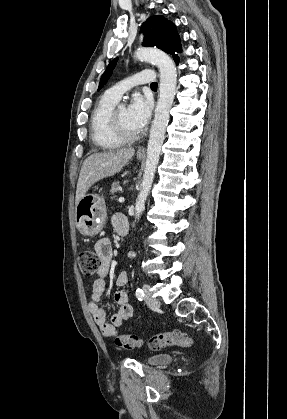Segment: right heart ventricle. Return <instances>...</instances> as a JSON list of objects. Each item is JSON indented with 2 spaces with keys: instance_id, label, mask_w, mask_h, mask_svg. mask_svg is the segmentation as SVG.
<instances>
[{
  "instance_id": "right-heart-ventricle-1",
  "label": "right heart ventricle",
  "mask_w": 287,
  "mask_h": 419,
  "mask_svg": "<svg viewBox=\"0 0 287 419\" xmlns=\"http://www.w3.org/2000/svg\"><path fill=\"white\" fill-rule=\"evenodd\" d=\"M118 100L110 97L107 92L97 102L90 120V134L93 143L100 149L111 150L122 145L112 133L109 116Z\"/></svg>"
}]
</instances>
